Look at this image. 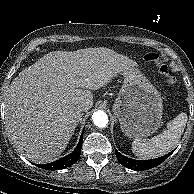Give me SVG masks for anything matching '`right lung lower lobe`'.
I'll return each instance as SVG.
<instances>
[{"instance_id": "1", "label": "right lung lower lobe", "mask_w": 194, "mask_h": 194, "mask_svg": "<svg viewBox=\"0 0 194 194\" xmlns=\"http://www.w3.org/2000/svg\"><path fill=\"white\" fill-rule=\"evenodd\" d=\"M82 141H83V133L81 134L80 140H79L75 150L72 153H70L69 155H67L66 157H64L60 160L51 162L49 164H44V165L38 164L37 166L42 168V169L55 171V170H61V169H64V168H67V167L73 165L78 160V158L80 156Z\"/></svg>"}]
</instances>
